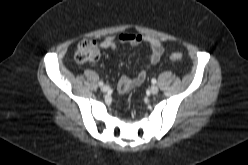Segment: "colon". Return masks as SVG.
I'll return each instance as SVG.
<instances>
[{
    "label": "colon",
    "instance_id": "obj_1",
    "mask_svg": "<svg viewBox=\"0 0 248 165\" xmlns=\"http://www.w3.org/2000/svg\"><path fill=\"white\" fill-rule=\"evenodd\" d=\"M99 57V50L97 43L91 39L81 40L75 51V60L78 63H93ZM171 60L180 61L183 56L179 52H174L170 55Z\"/></svg>",
    "mask_w": 248,
    "mask_h": 165
}]
</instances>
